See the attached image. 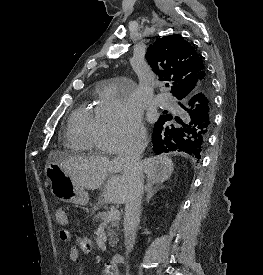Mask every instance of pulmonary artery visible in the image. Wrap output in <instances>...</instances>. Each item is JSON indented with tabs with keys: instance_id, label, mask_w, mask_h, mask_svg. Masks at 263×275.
I'll return each instance as SVG.
<instances>
[{
	"instance_id": "e3ab8cb5",
	"label": "pulmonary artery",
	"mask_w": 263,
	"mask_h": 275,
	"mask_svg": "<svg viewBox=\"0 0 263 275\" xmlns=\"http://www.w3.org/2000/svg\"><path fill=\"white\" fill-rule=\"evenodd\" d=\"M157 102L161 107L174 109L177 107L176 102L167 94H162L157 97Z\"/></svg>"
}]
</instances>
